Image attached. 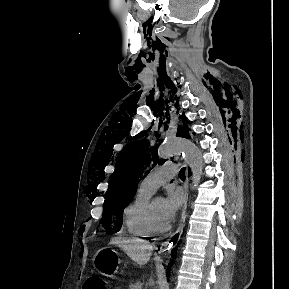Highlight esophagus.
<instances>
[{
	"instance_id": "1",
	"label": "esophagus",
	"mask_w": 289,
	"mask_h": 289,
	"mask_svg": "<svg viewBox=\"0 0 289 289\" xmlns=\"http://www.w3.org/2000/svg\"><path fill=\"white\" fill-rule=\"evenodd\" d=\"M190 175L189 168L186 167V180L184 183V203L181 212V219L177 230L164 242L162 243L159 253H164L166 250L170 249L172 246H175L181 238L183 229L185 226L186 210H187V201H188V189H189Z\"/></svg>"
}]
</instances>
